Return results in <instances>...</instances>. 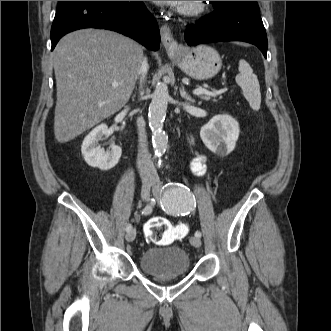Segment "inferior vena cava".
<instances>
[{"instance_id": "obj_1", "label": "inferior vena cava", "mask_w": 331, "mask_h": 331, "mask_svg": "<svg viewBox=\"0 0 331 331\" xmlns=\"http://www.w3.org/2000/svg\"><path fill=\"white\" fill-rule=\"evenodd\" d=\"M147 69H148L147 60L146 58H144L140 67V74L142 76L141 81L145 77V74L147 73ZM137 127H138V137H139L137 166L139 173L143 178H156L157 177L156 171L153 167L148 151L145 122L142 118H138Z\"/></svg>"}]
</instances>
